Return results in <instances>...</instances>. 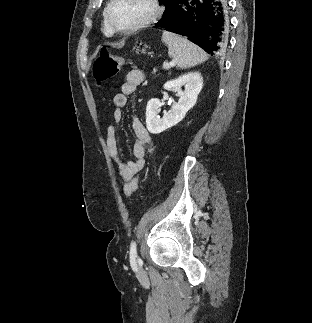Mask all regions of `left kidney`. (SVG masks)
<instances>
[{"label": "left kidney", "mask_w": 312, "mask_h": 323, "mask_svg": "<svg viewBox=\"0 0 312 323\" xmlns=\"http://www.w3.org/2000/svg\"><path fill=\"white\" fill-rule=\"evenodd\" d=\"M203 80L200 72H188L185 76H180L176 80H170L164 84V90H175L180 98L178 104L171 106L169 114L164 112L163 118L158 116V112L163 106L160 100L152 98L146 108V126L150 134H161L164 130L176 126L185 118L186 112L191 110L196 104L197 96L202 90ZM184 86L185 90H182Z\"/></svg>", "instance_id": "5707ae66"}]
</instances>
